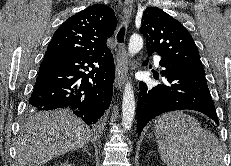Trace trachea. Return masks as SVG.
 Returning <instances> with one entry per match:
<instances>
[{
  "instance_id": "trachea-1",
  "label": "trachea",
  "mask_w": 231,
  "mask_h": 166,
  "mask_svg": "<svg viewBox=\"0 0 231 166\" xmlns=\"http://www.w3.org/2000/svg\"><path fill=\"white\" fill-rule=\"evenodd\" d=\"M125 27H121L120 31L117 34V41L122 43L124 41Z\"/></svg>"
}]
</instances>
